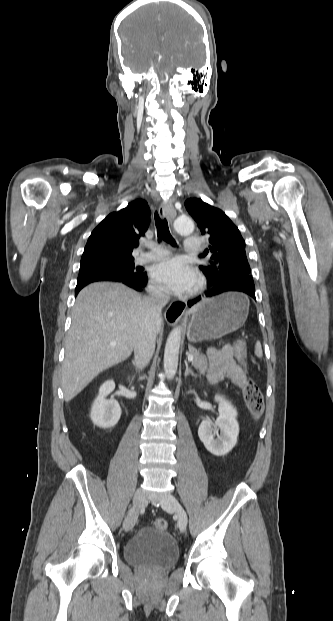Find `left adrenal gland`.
<instances>
[{"mask_svg": "<svg viewBox=\"0 0 333 621\" xmlns=\"http://www.w3.org/2000/svg\"><path fill=\"white\" fill-rule=\"evenodd\" d=\"M185 367H186L185 374H184L185 378L188 375H191V376H194V377H198V374H196L191 368H189L188 362L186 360H185Z\"/></svg>", "mask_w": 333, "mask_h": 621, "instance_id": "obj_1", "label": "left adrenal gland"}]
</instances>
